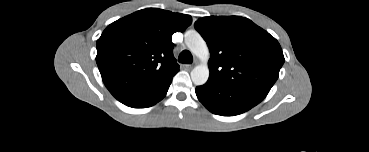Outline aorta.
I'll use <instances>...</instances> for the list:
<instances>
[{"label":"aorta","mask_w":369,"mask_h":152,"mask_svg":"<svg viewBox=\"0 0 369 152\" xmlns=\"http://www.w3.org/2000/svg\"><path fill=\"white\" fill-rule=\"evenodd\" d=\"M185 43L189 50L203 62L191 71L193 83L198 86L203 85L209 78V68L206 63L210 55L208 46L200 34L193 31L185 34Z\"/></svg>","instance_id":"aorta-1"}]
</instances>
